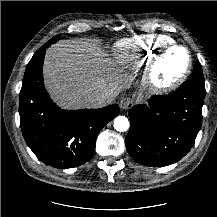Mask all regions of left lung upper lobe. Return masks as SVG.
<instances>
[{
    "label": "left lung upper lobe",
    "instance_id": "left-lung-upper-lobe-1",
    "mask_svg": "<svg viewBox=\"0 0 217 217\" xmlns=\"http://www.w3.org/2000/svg\"><path fill=\"white\" fill-rule=\"evenodd\" d=\"M190 80L195 81L199 86L201 87H205L204 83V76H203V72H202V66L199 62H196L194 69L190 75Z\"/></svg>",
    "mask_w": 217,
    "mask_h": 217
}]
</instances>
